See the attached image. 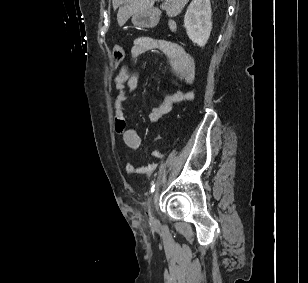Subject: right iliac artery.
<instances>
[{
  "label": "right iliac artery",
  "instance_id": "82829eb1",
  "mask_svg": "<svg viewBox=\"0 0 308 283\" xmlns=\"http://www.w3.org/2000/svg\"><path fill=\"white\" fill-rule=\"evenodd\" d=\"M151 185H152V187H151V190H150V194H151L152 192H154V189H155V182L153 181Z\"/></svg>",
  "mask_w": 308,
  "mask_h": 283
}]
</instances>
